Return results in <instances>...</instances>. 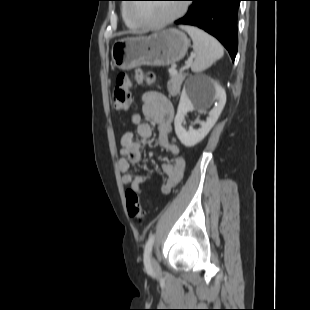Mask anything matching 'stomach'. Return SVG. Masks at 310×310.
<instances>
[{
  "instance_id": "stomach-1",
  "label": "stomach",
  "mask_w": 310,
  "mask_h": 310,
  "mask_svg": "<svg viewBox=\"0 0 310 310\" xmlns=\"http://www.w3.org/2000/svg\"><path fill=\"white\" fill-rule=\"evenodd\" d=\"M190 45L186 34L166 29L150 36L127 37L112 45L113 64L122 70L139 66L164 67L182 59Z\"/></svg>"
}]
</instances>
